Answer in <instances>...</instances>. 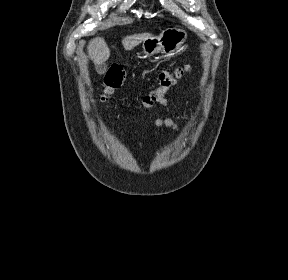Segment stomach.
I'll return each mask as SVG.
<instances>
[{"mask_svg": "<svg viewBox=\"0 0 288 280\" xmlns=\"http://www.w3.org/2000/svg\"><path fill=\"white\" fill-rule=\"evenodd\" d=\"M187 38L184 29L170 27L162 31L159 36L150 37L143 41V52L147 56L157 53L172 54L178 51Z\"/></svg>", "mask_w": 288, "mask_h": 280, "instance_id": "stomach-1", "label": "stomach"}]
</instances>
